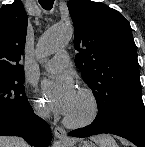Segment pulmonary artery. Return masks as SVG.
Wrapping results in <instances>:
<instances>
[{"mask_svg": "<svg viewBox=\"0 0 145 147\" xmlns=\"http://www.w3.org/2000/svg\"><path fill=\"white\" fill-rule=\"evenodd\" d=\"M68 61V53H58L52 59L45 63L44 68L50 73H57L63 70L68 65Z\"/></svg>", "mask_w": 145, "mask_h": 147, "instance_id": "e3ab8cb5", "label": "pulmonary artery"}]
</instances>
